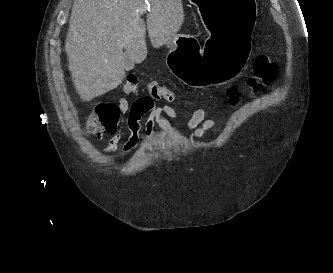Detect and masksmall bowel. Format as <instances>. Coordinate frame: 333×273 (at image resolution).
Instances as JSON below:
<instances>
[{
	"mask_svg": "<svg viewBox=\"0 0 333 273\" xmlns=\"http://www.w3.org/2000/svg\"><path fill=\"white\" fill-rule=\"evenodd\" d=\"M118 107L122 113L127 115L126 125L130 131L129 138L123 148L125 152H130L137 145L140 140L141 130H143L144 139L149 141L156 125L168 130V118L180 119L183 117L181 111L170 105L154 107V96H138V100L132 104H129L125 99H120ZM206 116L207 111L203 108L192 111L187 117L185 130L193 132L196 139H201L207 130L217 126L215 120L207 119ZM120 141V131L115 130L114 132H110V140L103 153L111 154L115 152L118 149Z\"/></svg>",
	"mask_w": 333,
	"mask_h": 273,
	"instance_id": "1",
	"label": "small bowel"
}]
</instances>
